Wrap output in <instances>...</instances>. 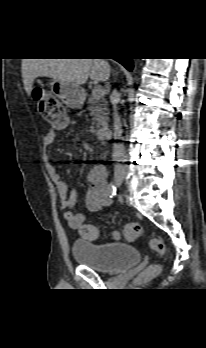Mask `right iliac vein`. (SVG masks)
Returning <instances> with one entry per match:
<instances>
[{"label":"right iliac vein","instance_id":"right-iliac-vein-1","mask_svg":"<svg viewBox=\"0 0 206 348\" xmlns=\"http://www.w3.org/2000/svg\"><path fill=\"white\" fill-rule=\"evenodd\" d=\"M122 181H123V178L120 177V176H118V177L115 178V183H116L117 185H120V184L122 183Z\"/></svg>","mask_w":206,"mask_h":348}]
</instances>
